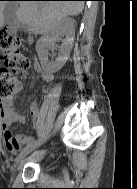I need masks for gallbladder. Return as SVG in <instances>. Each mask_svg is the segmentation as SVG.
Wrapping results in <instances>:
<instances>
[{"mask_svg": "<svg viewBox=\"0 0 137 189\" xmlns=\"http://www.w3.org/2000/svg\"><path fill=\"white\" fill-rule=\"evenodd\" d=\"M18 8L17 2H7L4 9L5 20L8 25V33L16 34L19 28V23L16 18V10Z\"/></svg>", "mask_w": 137, "mask_h": 189, "instance_id": "obj_1", "label": "gallbladder"}]
</instances>
